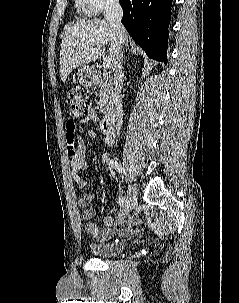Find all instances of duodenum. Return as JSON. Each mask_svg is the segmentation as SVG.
<instances>
[{"label":"duodenum","instance_id":"410a0bca","mask_svg":"<svg viewBox=\"0 0 239 303\" xmlns=\"http://www.w3.org/2000/svg\"><path fill=\"white\" fill-rule=\"evenodd\" d=\"M100 128L110 137H114L117 132V119L115 115L111 113L105 115L100 121Z\"/></svg>","mask_w":239,"mask_h":303}]
</instances>
